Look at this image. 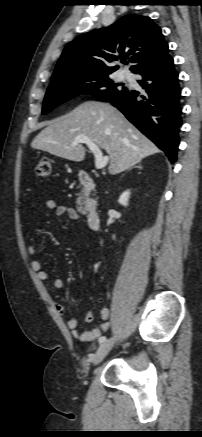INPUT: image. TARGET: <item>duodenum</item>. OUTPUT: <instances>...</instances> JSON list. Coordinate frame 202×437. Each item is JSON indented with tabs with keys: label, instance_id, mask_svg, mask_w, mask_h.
<instances>
[{
	"label": "duodenum",
	"instance_id": "duodenum-1",
	"mask_svg": "<svg viewBox=\"0 0 202 437\" xmlns=\"http://www.w3.org/2000/svg\"><path fill=\"white\" fill-rule=\"evenodd\" d=\"M78 179L87 194H90L95 189L96 183L88 173L80 172ZM86 221L90 229L96 231L100 228L101 218L97 206L92 201H89L87 206Z\"/></svg>",
	"mask_w": 202,
	"mask_h": 437
}]
</instances>
